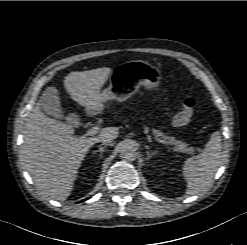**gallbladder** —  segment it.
<instances>
[{"instance_id": "obj_1", "label": "gallbladder", "mask_w": 247, "mask_h": 245, "mask_svg": "<svg viewBox=\"0 0 247 245\" xmlns=\"http://www.w3.org/2000/svg\"><path fill=\"white\" fill-rule=\"evenodd\" d=\"M40 109L53 118L62 120L65 118L61 108L58 90L55 87H48L42 93L39 100Z\"/></svg>"}]
</instances>
